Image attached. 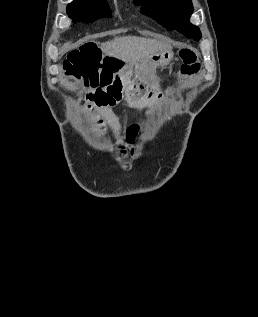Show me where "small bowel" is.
I'll use <instances>...</instances> for the list:
<instances>
[{
  "instance_id": "c3829d8e",
  "label": "small bowel",
  "mask_w": 258,
  "mask_h": 317,
  "mask_svg": "<svg viewBox=\"0 0 258 317\" xmlns=\"http://www.w3.org/2000/svg\"><path fill=\"white\" fill-rule=\"evenodd\" d=\"M87 110L93 118L97 130L102 134L107 131L110 132L121 152H125L127 145L134 144L139 131L138 125H132L126 131H123L117 120L100 117L90 106H88Z\"/></svg>"
}]
</instances>
